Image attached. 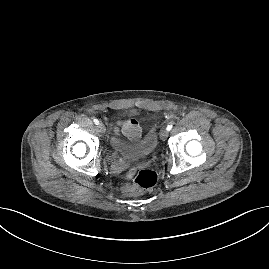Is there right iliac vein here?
I'll return each instance as SVG.
<instances>
[{"label": "right iliac vein", "mask_w": 269, "mask_h": 269, "mask_svg": "<svg viewBox=\"0 0 269 269\" xmlns=\"http://www.w3.org/2000/svg\"><path fill=\"white\" fill-rule=\"evenodd\" d=\"M98 130H99L100 133H105L106 128H105L103 123L98 124Z\"/></svg>", "instance_id": "63e3f726"}]
</instances>
